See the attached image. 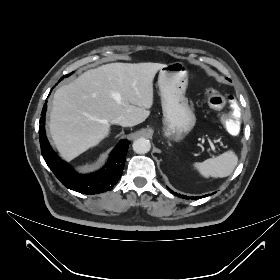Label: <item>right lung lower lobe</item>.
Instances as JSON below:
<instances>
[{
    "label": "right lung lower lobe",
    "mask_w": 280,
    "mask_h": 280,
    "mask_svg": "<svg viewBox=\"0 0 280 280\" xmlns=\"http://www.w3.org/2000/svg\"><path fill=\"white\" fill-rule=\"evenodd\" d=\"M46 108L47 105L44 104L40 118L39 141L42 156L55 176L65 187L82 194L92 195L111 190L122 175L130 142L121 140L112 151L108 163L100 171L90 175L78 174L69 164L62 161L49 145L44 126Z\"/></svg>",
    "instance_id": "obj_1"
}]
</instances>
